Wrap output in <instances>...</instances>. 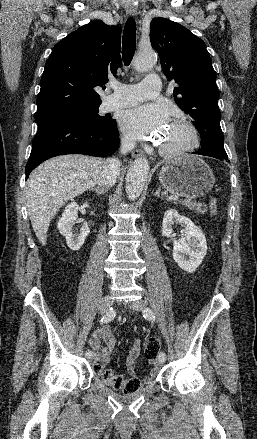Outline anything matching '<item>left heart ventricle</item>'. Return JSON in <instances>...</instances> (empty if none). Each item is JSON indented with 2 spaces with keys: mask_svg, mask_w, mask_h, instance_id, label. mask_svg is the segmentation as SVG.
<instances>
[{
  "mask_svg": "<svg viewBox=\"0 0 257 439\" xmlns=\"http://www.w3.org/2000/svg\"><path fill=\"white\" fill-rule=\"evenodd\" d=\"M189 143V134L187 130L181 126L170 124L161 141V146L168 148H176Z\"/></svg>",
  "mask_w": 257,
  "mask_h": 439,
  "instance_id": "b2bd125f",
  "label": "left heart ventricle"
}]
</instances>
